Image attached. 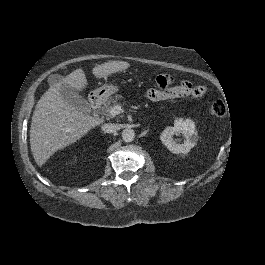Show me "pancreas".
I'll use <instances>...</instances> for the list:
<instances>
[{"label": "pancreas", "instance_id": "cf45deb5", "mask_svg": "<svg viewBox=\"0 0 265 265\" xmlns=\"http://www.w3.org/2000/svg\"><path fill=\"white\" fill-rule=\"evenodd\" d=\"M122 98L121 95L119 94H116L115 96L113 97H110L103 105L102 107V111L108 115V116H111V110L114 106L118 105L119 104V100Z\"/></svg>", "mask_w": 265, "mask_h": 265}]
</instances>
